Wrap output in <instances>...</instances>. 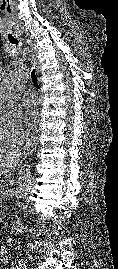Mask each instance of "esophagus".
I'll return each instance as SVG.
<instances>
[{
    "label": "esophagus",
    "instance_id": "esophagus-1",
    "mask_svg": "<svg viewBox=\"0 0 118 269\" xmlns=\"http://www.w3.org/2000/svg\"><path fill=\"white\" fill-rule=\"evenodd\" d=\"M32 59H33L34 65L36 67L37 74L39 75L40 74V66H39V62L37 60V54L35 51H33Z\"/></svg>",
    "mask_w": 118,
    "mask_h": 269
}]
</instances>
